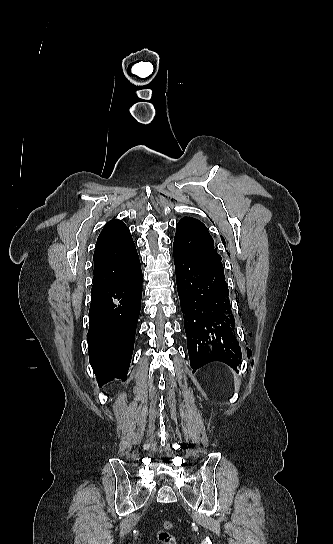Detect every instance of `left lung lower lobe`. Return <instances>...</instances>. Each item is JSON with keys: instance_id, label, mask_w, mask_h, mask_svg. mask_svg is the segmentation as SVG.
<instances>
[{"instance_id": "left-lung-lower-lobe-1", "label": "left lung lower lobe", "mask_w": 333, "mask_h": 544, "mask_svg": "<svg viewBox=\"0 0 333 544\" xmlns=\"http://www.w3.org/2000/svg\"><path fill=\"white\" fill-rule=\"evenodd\" d=\"M174 263L191 367L222 361L236 369L242 354L225 277L181 251Z\"/></svg>"}]
</instances>
